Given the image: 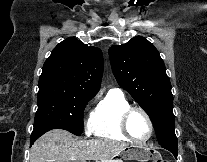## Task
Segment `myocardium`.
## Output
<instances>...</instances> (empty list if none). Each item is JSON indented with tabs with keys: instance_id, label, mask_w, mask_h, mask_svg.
Segmentation results:
<instances>
[{
	"instance_id": "obj_1",
	"label": "myocardium",
	"mask_w": 207,
	"mask_h": 162,
	"mask_svg": "<svg viewBox=\"0 0 207 162\" xmlns=\"http://www.w3.org/2000/svg\"><path fill=\"white\" fill-rule=\"evenodd\" d=\"M135 112L141 113L145 117V119L147 120L148 127H149V133H148L147 137L144 139H136L135 137H133L131 135V133L128 129L129 119H130L131 115ZM120 130L128 139L132 140L133 142L145 143L151 139L153 132H154V126H153V122H152L149 114L143 108L129 107L122 113V115L120 117Z\"/></svg>"
}]
</instances>
